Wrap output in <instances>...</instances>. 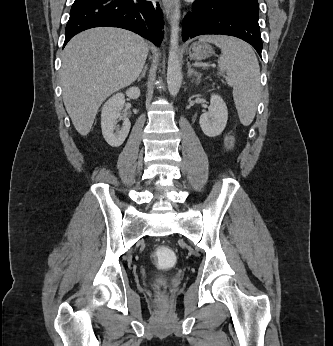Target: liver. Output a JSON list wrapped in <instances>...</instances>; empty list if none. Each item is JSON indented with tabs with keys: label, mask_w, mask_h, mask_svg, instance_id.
Instances as JSON below:
<instances>
[{
	"label": "liver",
	"mask_w": 333,
	"mask_h": 346,
	"mask_svg": "<svg viewBox=\"0 0 333 346\" xmlns=\"http://www.w3.org/2000/svg\"><path fill=\"white\" fill-rule=\"evenodd\" d=\"M148 51L142 37L112 27L83 31L68 42L62 54V94L79 134L90 132L107 97L137 79Z\"/></svg>",
	"instance_id": "obj_1"
}]
</instances>
